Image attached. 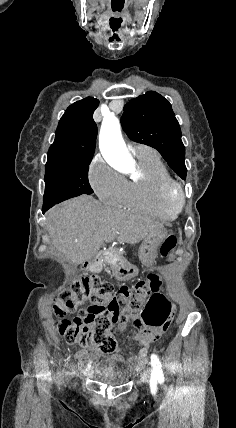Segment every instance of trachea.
Here are the masks:
<instances>
[{"mask_svg": "<svg viewBox=\"0 0 236 428\" xmlns=\"http://www.w3.org/2000/svg\"><path fill=\"white\" fill-rule=\"evenodd\" d=\"M110 27H111V29H112V30H114V31H115V30H117V29H118V27H119V26H118V24H117V23H115V22H114V23H112V24H111V26H110Z\"/></svg>", "mask_w": 236, "mask_h": 428, "instance_id": "3493384b", "label": "trachea"}]
</instances>
